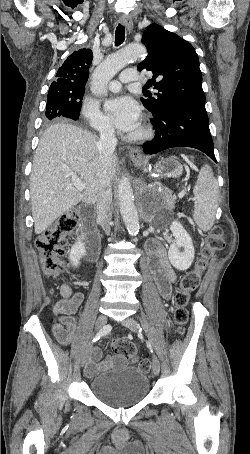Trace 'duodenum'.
Masks as SVG:
<instances>
[{
  "label": "duodenum",
  "mask_w": 250,
  "mask_h": 454,
  "mask_svg": "<svg viewBox=\"0 0 250 454\" xmlns=\"http://www.w3.org/2000/svg\"><path fill=\"white\" fill-rule=\"evenodd\" d=\"M81 215L86 249L85 257L94 262L99 249L100 236L94 225L93 209L87 206L82 209Z\"/></svg>",
  "instance_id": "duodenum-1"
}]
</instances>
